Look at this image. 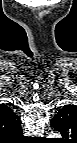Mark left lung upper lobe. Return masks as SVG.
Wrapping results in <instances>:
<instances>
[{
    "label": "left lung upper lobe",
    "mask_w": 77,
    "mask_h": 143,
    "mask_svg": "<svg viewBox=\"0 0 77 143\" xmlns=\"http://www.w3.org/2000/svg\"><path fill=\"white\" fill-rule=\"evenodd\" d=\"M56 131H59L63 137H66L68 133L71 132V122L66 121L64 123H59L57 125H53Z\"/></svg>",
    "instance_id": "1"
}]
</instances>
